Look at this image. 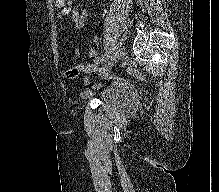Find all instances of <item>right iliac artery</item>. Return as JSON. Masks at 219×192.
I'll use <instances>...</instances> for the list:
<instances>
[{"label":"right iliac artery","mask_w":219,"mask_h":192,"mask_svg":"<svg viewBox=\"0 0 219 192\" xmlns=\"http://www.w3.org/2000/svg\"><path fill=\"white\" fill-rule=\"evenodd\" d=\"M109 57H110V56H109L108 53L105 54L104 56L101 57L100 62L102 63V62L106 61Z\"/></svg>","instance_id":"1"}]
</instances>
